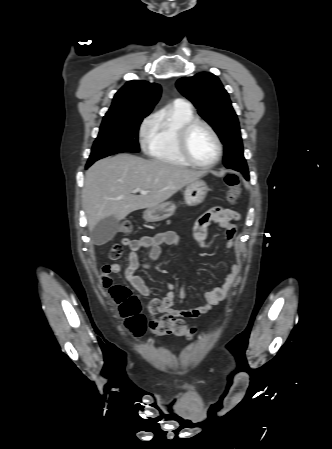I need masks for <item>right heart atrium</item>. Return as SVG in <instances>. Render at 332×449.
Wrapping results in <instances>:
<instances>
[{
	"instance_id": "1",
	"label": "right heart atrium",
	"mask_w": 332,
	"mask_h": 449,
	"mask_svg": "<svg viewBox=\"0 0 332 449\" xmlns=\"http://www.w3.org/2000/svg\"><path fill=\"white\" fill-rule=\"evenodd\" d=\"M153 117H147L146 119H144V121L142 122L141 126H140V137H141V142L142 145H146L147 140L149 138V135L151 133L152 130V126H153Z\"/></svg>"
}]
</instances>
